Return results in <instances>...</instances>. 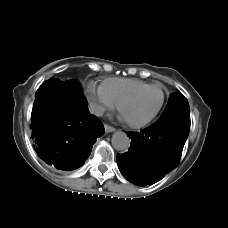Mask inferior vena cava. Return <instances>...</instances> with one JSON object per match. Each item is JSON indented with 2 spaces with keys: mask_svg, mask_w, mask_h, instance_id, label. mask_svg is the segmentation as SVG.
<instances>
[{
  "mask_svg": "<svg viewBox=\"0 0 228 228\" xmlns=\"http://www.w3.org/2000/svg\"><path fill=\"white\" fill-rule=\"evenodd\" d=\"M89 111L90 113L100 117L104 114L105 109L98 104L91 102L89 104Z\"/></svg>",
  "mask_w": 228,
  "mask_h": 228,
  "instance_id": "1",
  "label": "inferior vena cava"
}]
</instances>
